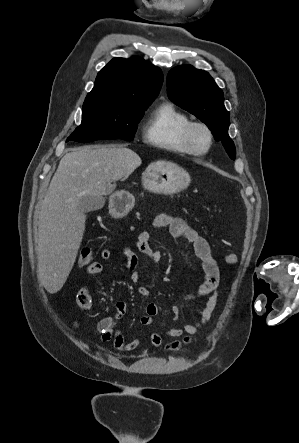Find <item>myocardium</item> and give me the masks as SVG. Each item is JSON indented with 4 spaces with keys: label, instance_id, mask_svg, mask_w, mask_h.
Segmentation results:
<instances>
[{
    "label": "myocardium",
    "instance_id": "f54148a6",
    "mask_svg": "<svg viewBox=\"0 0 299 443\" xmlns=\"http://www.w3.org/2000/svg\"><path fill=\"white\" fill-rule=\"evenodd\" d=\"M197 130H202L206 133L208 144L204 149H200L195 144V133ZM182 141L184 147L189 152V154L195 156H202L207 154L213 145V132L210 127L204 122L192 121L190 122L183 131Z\"/></svg>",
    "mask_w": 299,
    "mask_h": 443
}]
</instances>
